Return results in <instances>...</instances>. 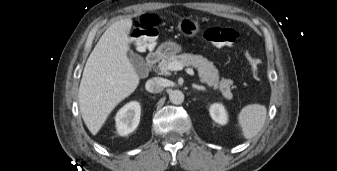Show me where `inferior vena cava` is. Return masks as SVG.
Masks as SVG:
<instances>
[{"mask_svg": "<svg viewBox=\"0 0 337 171\" xmlns=\"http://www.w3.org/2000/svg\"><path fill=\"white\" fill-rule=\"evenodd\" d=\"M164 88V79L160 77H153L146 83L147 91L151 93H159Z\"/></svg>", "mask_w": 337, "mask_h": 171, "instance_id": "1", "label": "inferior vena cava"}]
</instances>
